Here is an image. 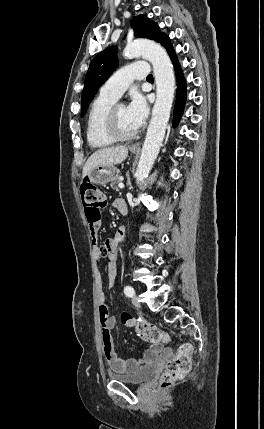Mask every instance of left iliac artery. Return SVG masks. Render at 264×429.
<instances>
[{
  "label": "left iliac artery",
  "mask_w": 264,
  "mask_h": 429,
  "mask_svg": "<svg viewBox=\"0 0 264 429\" xmlns=\"http://www.w3.org/2000/svg\"><path fill=\"white\" fill-rule=\"evenodd\" d=\"M124 293L128 297H132L133 293H135V290L132 286L127 285L124 287Z\"/></svg>",
  "instance_id": "obj_1"
}]
</instances>
